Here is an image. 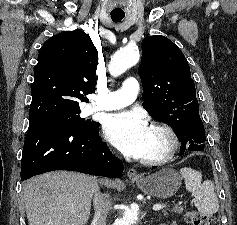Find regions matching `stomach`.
I'll return each mask as SVG.
<instances>
[{"mask_svg": "<svg viewBox=\"0 0 237 225\" xmlns=\"http://www.w3.org/2000/svg\"><path fill=\"white\" fill-rule=\"evenodd\" d=\"M181 180L179 173L171 168H164L152 175L133 179L144 193L161 199L176 194L181 186Z\"/></svg>", "mask_w": 237, "mask_h": 225, "instance_id": "1", "label": "stomach"}]
</instances>
